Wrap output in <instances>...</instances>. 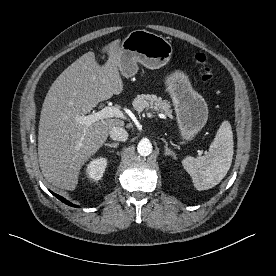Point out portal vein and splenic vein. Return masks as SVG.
<instances>
[{
    "instance_id": "18ae733b",
    "label": "portal vein and splenic vein",
    "mask_w": 276,
    "mask_h": 276,
    "mask_svg": "<svg viewBox=\"0 0 276 276\" xmlns=\"http://www.w3.org/2000/svg\"><path fill=\"white\" fill-rule=\"evenodd\" d=\"M147 115L148 117H152L150 113H148ZM112 117L124 119V115L118 107L105 106L103 109H101L98 112L91 113L87 116L77 117L76 121L88 127L96 121L103 120L105 118H112Z\"/></svg>"
}]
</instances>
